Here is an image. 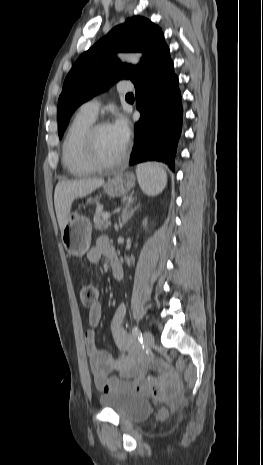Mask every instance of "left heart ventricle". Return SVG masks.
<instances>
[{
    "instance_id": "left-heart-ventricle-1",
    "label": "left heart ventricle",
    "mask_w": 263,
    "mask_h": 465,
    "mask_svg": "<svg viewBox=\"0 0 263 465\" xmlns=\"http://www.w3.org/2000/svg\"><path fill=\"white\" fill-rule=\"evenodd\" d=\"M96 146L100 158L105 161L117 158L125 147L114 135L110 126H105L98 131Z\"/></svg>"
}]
</instances>
